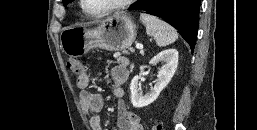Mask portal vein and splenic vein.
Masks as SVG:
<instances>
[{
	"instance_id": "1",
	"label": "portal vein and splenic vein",
	"mask_w": 257,
	"mask_h": 130,
	"mask_svg": "<svg viewBox=\"0 0 257 130\" xmlns=\"http://www.w3.org/2000/svg\"><path fill=\"white\" fill-rule=\"evenodd\" d=\"M136 48L142 50V49H143V46L138 44V45H136Z\"/></svg>"
}]
</instances>
